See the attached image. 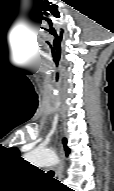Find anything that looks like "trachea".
Wrapping results in <instances>:
<instances>
[{
	"instance_id": "obj_1",
	"label": "trachea",
	"mask_w": 114,
	"mask_h": 191,
	"mask_svg": "<svg viewBox=\"0 0 114 191\" xmlns=\"http://www.w3.org/2000/svg\"><path fill=\"white\" fill-rule=\"evenodd\" d=\"M49 174L54 175V172L53 171H49Z\"/></svg>"
}]
</instances>
